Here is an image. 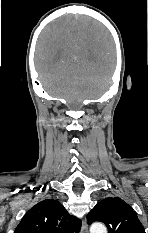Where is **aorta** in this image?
<instances>
[{
    "instance_id": "762f6f07",
    "label": "aorta",
    "mask_w": 148,
    "mask_h": 233,
    "mask_svg": "<svg viewBox=\"0 0 148 233\" xmlns=\"http://www.w3.org/2000/svg\"><path fill=\"white\" fill-rule=\"evenodd\" d=\"M90 233H107V229L104 224L97 222L91 225Z\"/></svg>"
}]
</instances>
